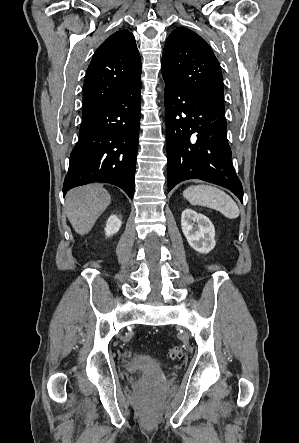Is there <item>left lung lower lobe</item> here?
<instances>
[{
	"label": "left lung lower lobe",
	"mask_w": 299,
	"mask_h": 443,
	"mask_svg": "<svg viewBox=\"0 0 299 443\" xmlns=\"http://www.w3.org/2000/svg\"><path fill=\"white\" fill-rule=\"evenodd\" d=\"M163 77L168 191L183 180L201 179L229 189L243 202V188L231 162L225 113Z\"/></svg>",
	"instance_id": "left-lung-lower-lobe-1"
}]
</instances>
